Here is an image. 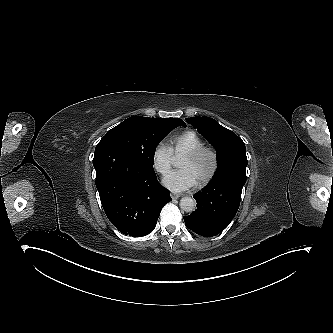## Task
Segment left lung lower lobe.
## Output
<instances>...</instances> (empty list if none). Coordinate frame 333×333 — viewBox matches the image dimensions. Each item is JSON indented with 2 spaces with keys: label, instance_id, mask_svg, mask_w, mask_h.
Returning <instances> with one entry per match:
<instances>
[{
  "label": "left lung lower lobe",
  "instance_id": "0a47b994",
  "mask_svg": "<svg viewBox=\"0 0 333 333\" xmlns=\"http://www.w3.org/2000/svg\"><path fill=\"white\" fill-rule=\"evenodd\" d=\"M245 182L246 176L232 183L211 180L208 186L194 195L197 209L184 216L185 225L204 237L222 232L237 213Z\"/></svg>",
  "mask_w": 333,
  "mask_h": 333
}]
</instances>
